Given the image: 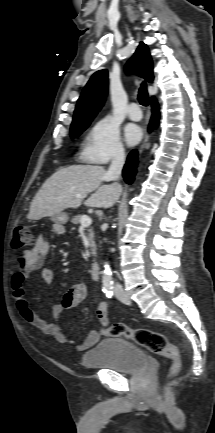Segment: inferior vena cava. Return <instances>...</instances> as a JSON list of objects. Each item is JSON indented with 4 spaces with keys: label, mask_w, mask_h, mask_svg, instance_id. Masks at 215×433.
<instances>
[{
    "label": "inferior vena cava",
    "mask_w": 215,
    "mask_h": 433,
    "mask_svg": "<svg viewBox=\"0 0 215 433\" xmlns=\"http://www.w3.org/2000/svg\"><path fill=\"white\" fill-rule=\"evenodd\" d=\"M125 163V153L123 149H118L115 151L113 155V159L111 162V165L106 173V179L108 181L113 180L117 181L119 180L122 172V168ZM122 290V286L118 283L115 284V291L120 292Z\"/></svg>",
    "instance_id": "inferior-vena-cava-1"
}]
</instances>
